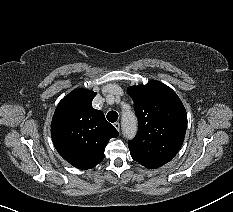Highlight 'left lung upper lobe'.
<instances>
[{
    "label": "left lung upper lobe",
    "mask_w": 233,
    "mask_h": 212,
    "mask_svg": "<svg viewBox=\"0 0 233 212\" xmlns=\"http://www.w3.org/2000/svg\"><path fill=\"white\" fill-rule=\"evenodd\" d=\"M128 94L139 122L136 137L128 143L131 157L156 169L179 151L186 133V110L177 94L159 81L129 87Z\"/></svg>",
    "instance_id": "1"
}]
</instances>
